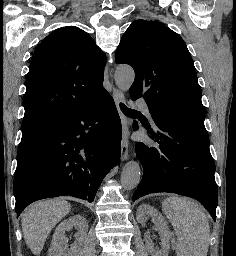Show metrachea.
<instances>
[{
  "instance_id": "obj_1",
  "label": "trachea",
  "mask_w": 236,
  "mask_h": 256,
  "mask_svg": "<svg viewBox=\"0 0 236 256\" xmlns=\"http://www.w3.org/2000/svg\"><path fill=\"white\" fill-rule=\"evenodd\" d=\"M120 108L121 111L125 114H132V113H137L136 110H132L131 108H128L127 106H125L123 103H120Z\"/></svg>"
}]
</instances>
